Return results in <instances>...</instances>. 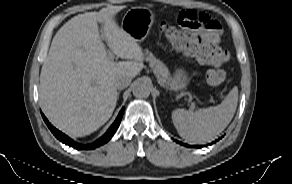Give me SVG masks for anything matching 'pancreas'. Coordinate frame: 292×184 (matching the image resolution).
Wrapping results in <instances>:
<instances>
[{"label": "pancreas", "instance_id": "obj_1", "mask_svg": "<svg viewBox=\"0 0 292 184\" xmlns=\"http://www.w3.org/2000/svg\"><path fill=\"white\" fill-rule=\"evenodd\" d=\"M146 60L152 68L160 84L164 86H171L172 81L168 68L160 60L156 59L152 53H147Z\"/></svg>", "mask_w": 292, "mask_h": 184}]
</instances>
